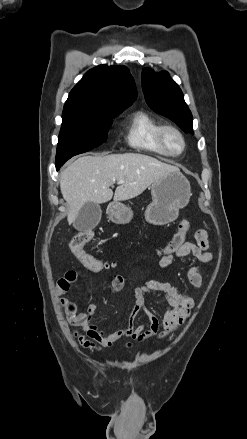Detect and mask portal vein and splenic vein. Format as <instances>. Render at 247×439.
Returning a JSON list of instances; mask_svg holds the SVG:
<instances>
[{"label":"portal vein and splenic vein","instance_id":"18ae733b","mask_svg":"<svg viewBox=\"0 0 247 439\" xmlns=\"http://www.w3.org/2000/svg\"><path fill=\"white\" fill-rule=\"evenodd\" d=\"M118 184H122L123 183V181H119V182H117Z\"/></svg>","mask_w":247,"mask_h":439}]
</instances>
